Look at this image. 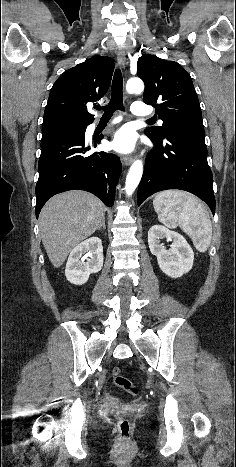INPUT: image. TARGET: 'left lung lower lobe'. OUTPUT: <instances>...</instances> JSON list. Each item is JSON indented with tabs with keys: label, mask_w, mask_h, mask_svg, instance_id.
<instances>
[{
	"label": "left lung lower lobe",
	"mask_w": 236,
	"mask_h": 467,
	"mask_svg": "<svg viewBox=\"0 0 236 467\" xmlns=\"http://www.w3.org/2000/svg\"><path fill=\"white\" fill-rule=\"evenodd\" d=\"M150 139L156 147L145 160L138 206L156 192L180 189L198 196L214 214L213 176L207 162L204 128H177L166 132L161 140Z\"/></svg>",
	"instance_id": "1"
}]
</instances>
